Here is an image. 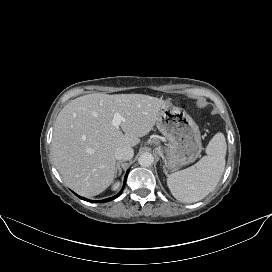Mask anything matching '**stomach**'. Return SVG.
I'll use <instances>...</instances> for the list:
<instances>
[{
  "mask_svg": "<svg viewBox=\"0 0 272 272\" xmlns=\"http://www.w3.org/2000/svg\"><path fill=\"white\" fill-rule=\"evenodd\" d=\"M156 126L168 141L165 147L168 169L177 170L199 157L202 150L200 130L183 109L169 101L165 102L158 114Z\"/></svg>",
  "mask_w": 272,
  "mask_h": 272,
  "instance_id": "stomach-1",
  "label": "stomach"
}]
</instances>
